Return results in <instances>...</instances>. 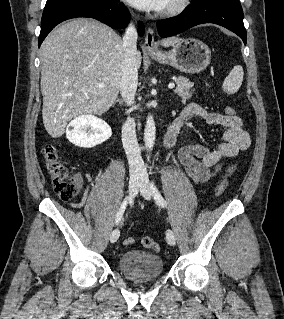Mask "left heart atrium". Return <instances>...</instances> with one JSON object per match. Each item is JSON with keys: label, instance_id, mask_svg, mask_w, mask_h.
Wrapping results in <instances>:
<instances>
[{"label": "left heart atrium", "instance_id": "obj_1", "mask_svg": "<svg viewBox=\"0 0 284 319\" xmlns=\"http://www.w3.org/2000/svg\"><path fill=\"white\" fill-rule=\"evenodd\" d=\"M130 5L141 10L161 11L169 0H126Z\"/></svg>", "mask_w": 284, "mask_h": 319}]
</instances>
